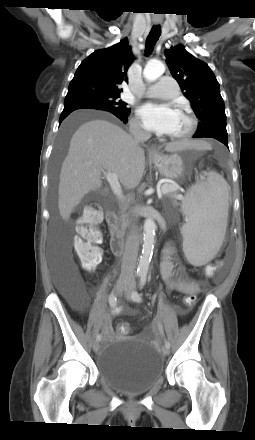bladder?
<instances>
[{
    "mask_svg": "<svg viewBox=\"0 0 255 440\" xmlns=\"http://www.w3.org/2000/svg\"><path fill=\"white\" fill-rule=\"evenodd\" d=\"M99 377L113 390L142 394L164 374V359L151 344L136 338L109 339L97 361Z\"/></svg>",
    "mask_w": 255,
    "mask_h": 440,
    "instance_id": "obj_1",
    "label": "bladder"
}]
</instances>
